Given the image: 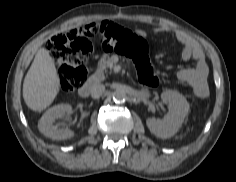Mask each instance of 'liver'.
Wrapping results in <instances>:
<instances>
[{
    "label": "liver",
    "mask_w": 236,
    "mask_h": 182,
    "mask_svg": "<svg viewBox=\"0 0 236 182\" xmlns=\"http://www.w3.org/2000/svg\"><path fill=\"white\" fill-rule=\"evenodd\" d=\"M59 91L53 58L45 48H40L23 82L24 101L31 110L41 112L51 105Z\"/></svg>",
    "instance_id": "1"
}]
</instances>
